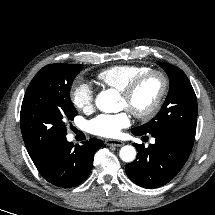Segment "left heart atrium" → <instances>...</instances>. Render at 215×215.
I'll use <instances>...</instances> for the list:
<instances>
[{"mask_svg":"<svg viewBox=\"0 0 215 215\" xmlns=\"http://www.w3.org/2000/svg\"><path fill=\"white\" fill-rule=\"evenodd\" d=\"M131 117L128 111L116 114H100L90 120L89 131L97 136L115 138L119 136L122 129L128 127Z\"/></svg>","mask_w":215,"mask_h":215,"instance_id":"obj_1","label":"left heart atrium"}]
</instances>
